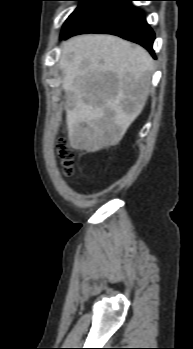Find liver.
Returning a JSON list of instances; mask_svg holds the SVG:
<instances>
[{"instance_id":"obj_1","label":"liver","mask_w":193,"mask_h":349,"mask_svg":"<svg viewBox=\"0 0 193 349\" xmlns=\"http://www.w3.org/2000/svg\"><path fill=\"white\" fill-rule=\"evenodd\" d=\"M60 68L71 147L96 152L117 145L145 106L154 70L149 53L111 35H80L63 42Z\"/></svg>"}]
</instances>
